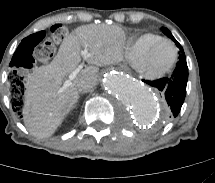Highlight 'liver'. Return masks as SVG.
Instances as JSON below:
<instances>
[{"label": "liver", "instance_id": "6515ba94", "mask_svg": "<svg viewBox=\"0 0 215 183\" xmlns=\"http://www.w3.org/2000/svg\"><path fill=\"white\" fill-rule=\"evenodd\" d=\"M125 32L118 26H79L62 41L50 64L36 68L26 82L23 120L28 131L39 138L53 135L79 98L78 84L97 83L98 66L119 62ZM81 47L89 51L85 67L72 85L59 92L64 78L81 62Z\"/></svg>", "mask_w": 215, "mask_h": 183}]
</instances>
